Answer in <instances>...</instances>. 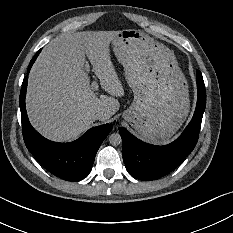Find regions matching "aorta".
<instances>
[{"mask_svg": "<svg viewBox=\"0 0 233 233\" xmlns=\"http://www.w3.org/2000/svg\"><path fill=\"white\" fill-rule=\"evenodd\" d=\"M122 139L119 133H111L109 135V142L112 145H119L121 143Z\"/></svg>", "mask_w": 233, "mask_h": 233, "instance_id": "1", "label": "aorta"}]
</instances>
